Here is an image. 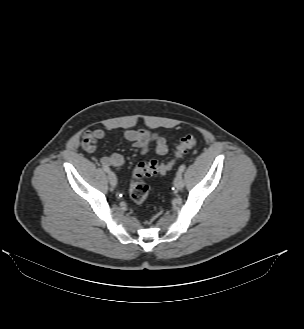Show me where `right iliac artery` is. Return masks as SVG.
Returning <instances> with one entry per match:
<instances>
[{
    "label": "right iliac artery",
    "instance_id": "obj_1",
    "mask_svg": "<svg viewBox=\"0 0 304 329\" xmlns=\"http://www.w3.org/2000/svg\"><path fill=\"white\" fill-rule=\"evenodd\" d=\"M103 170L107 173H110V168L108 166L103 165Z\"/></svg>",
    "mask_w": 304,
    "mask_h": 329
}]
</instances>
